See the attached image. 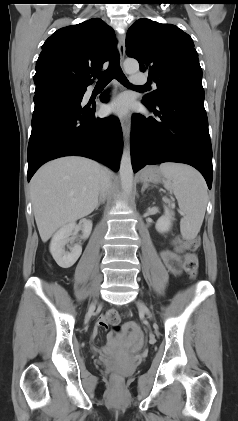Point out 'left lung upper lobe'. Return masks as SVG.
<instances>
[{
    "label": "left lung upper lobe",
    "mask_w": 238,
    "mask_h": 421,
    "mask_svg": "<svg viewBox=\"0 0 238 421\" xmlns=\"http://www.w3.org/2000/svg\"><path fill=\"white\" fill-rule=\"evenodd\" d=\"M126 54L138 60L141 71L149 69V81L157 84V89L144 97L145 104L154 105L161 94L170 90L202 85L193 40L175 25L138 19L128 29Z\"/></svg>",
    "instance_id": "1"
}]
</instances>
